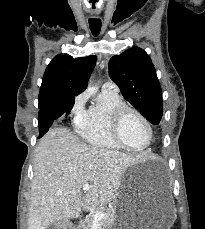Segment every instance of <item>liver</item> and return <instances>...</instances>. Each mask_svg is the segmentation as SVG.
Here are the masks:
<instances>
[{
    "mask_svg": "<svg viewBox=\"0 0 205 229\" xmlns=\"http://www.w3.org/2000/svg\"><path fill=\"white\" fill-rule=\"evenodd\" d=\"M140 159L90 146L67 128L50 129L35 150L28 229H47L56 221L77 218L82 208L115 200L125 171ZM89 183L83 196L81 188Z\"/></svg>",
    "mask_w": 205,
    "mask_h": 229,
    "instance_id": "1",
    "label": "liver"
}]
</instances>
